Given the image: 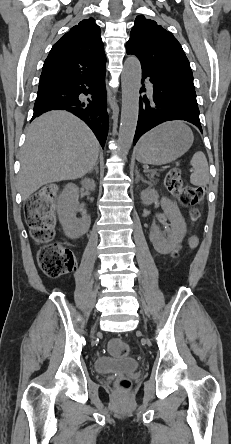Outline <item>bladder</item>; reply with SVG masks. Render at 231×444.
<instances>
[{"mask_svg":"<svg viewBox=\"0 0 231 444\" xmlns=\"http://www.w3.org/2000/svg\"><path fill=\"white\" fill-rule=\"evenodd\" d=\"M140 367L139 363L132 360L112 358L104 355L96 357L94 369L99 374L110 372H134Z\"/></svg>","mask_w":231,"mask_h":444,"instance_id":"31cf9c89","label":"bladder"}]
</instances>
